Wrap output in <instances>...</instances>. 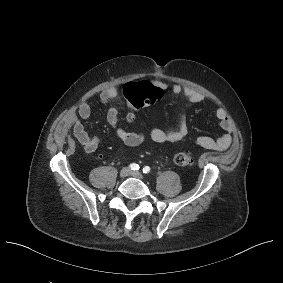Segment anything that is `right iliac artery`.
<instances>
[{
    "mask_svg": "<svg viewBox=\"0 0 283 283\" xmlns=\"http://www.w3.org/2000/svg\"><path fill=\"white\" fill-rule=\"evenodd\" d=\"M129 167H130V169H131V170H134V171H135V170H139V165H138V164H136V163H132V164H130V166H129Z\"/></svg>",
    "mask_w": 283,
    "mask_h": 283,
    "instance_id": "obj_1",
    "label": "right iliac artery"
}]
</instances>
